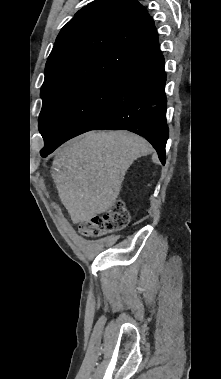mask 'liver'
I'll list each match as a JSON object with an SVG mask.
<instances>
[{
    "mask_svg": "<svg viewBox=\"0 0 221 379\" xmlns=\"http://www.w3.org/2000/svg\"><path fill=\"white\" fill-rule=\"evenodd\" d=\"M152 151L144 138L127 131H92L58 148L52 178L72 222H88L110 209L130 165Z\"/></svg>",
    "mask_w": 221,
    "mask_h": 379,
    "instance_id": "obj_1",
    "label": "liver"
}]
</instances>
